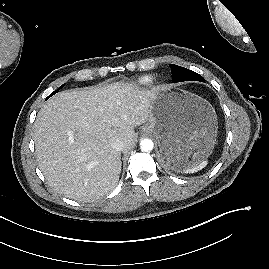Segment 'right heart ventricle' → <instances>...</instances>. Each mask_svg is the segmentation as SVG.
<instances>
[{
	"label": "right heart ventricle",
	"mask_w": 269,
	"mask_h": 269,
	"mask_svg": "<svg viewBox=\"0 0 269 269\" xmlns=\"http://www.w3.org/2000/svg\"><path fill=\"white\" fill-rule=\"evenodd\" d=\"M153 80V78L151 76H143L141 78H139L138 83L141 85H147L149 83H151Z\"/></svg>",
	"instance_id": "obj_1"
}]
</instances>
